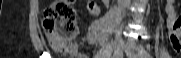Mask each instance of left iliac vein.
<instances>
[{
	"instance_id": "obj_1",
	"label": "left iliac vein",
	"mask_w": 181,
	"mask_h": 58,
	"mask_svg": "<svg viewBox=\"0 0 181 58\" xmlns=\"http://www.w3.org/2000/svg\"><path fill=\"white\" fill-rule=\"evenodd\" d=\"M125 52L129 58H141L142 57L139 52V49L136 48L134 42H132V41H130L127 44V46L125 48Z\"/></svg>"
}]
</instances>
